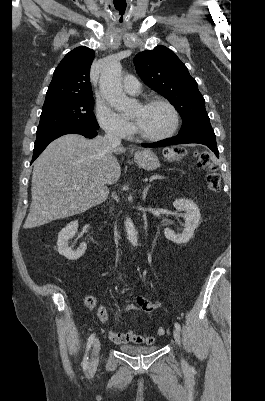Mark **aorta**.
I'll list each match as a JSON object with an SVG mask.
<instances>
[{"mask_svg": "<svg viewBox=\"0 0 265 401\" xmlns=\"http://www.w3.org/2000/svg\"><path fill=\"white\" fill-rule=\"evenodd\" d=\"M121 70L120 62H112L102 70L100 76L101 94L116 110H128L130 108V98L126 96L121 86ZM124 227L128 241L133 247H137L138 235L132 219L125 217Z\"/></svg>", "mask_w": 265, "mask_h": 401, "instance_id": "1", "label": "aorta"}]
</instances>
